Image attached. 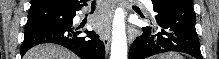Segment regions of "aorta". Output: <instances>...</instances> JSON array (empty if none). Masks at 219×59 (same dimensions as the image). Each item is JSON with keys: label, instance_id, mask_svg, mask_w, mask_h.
<instances>
[{"label": "aorta", "instance_id": "obj_1", "mask_svg": "<svg viewBox=\"0 0 219 59\" xmlns=\"http://www.w3.org/2000/svg\"><path fill=\"white\" fill-rule=\"evenodd\" d=\"M124 19L123 8H117L113 18L110 59H127V36Z\"/></svg>", "mask_w": 219, "mask_h": 59}]
</instances>
